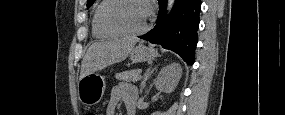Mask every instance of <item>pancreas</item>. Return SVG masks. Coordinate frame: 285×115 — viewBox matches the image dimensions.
Returning <instances> with one entry per match:
<instances>
[{
  "mask_svg": "<svg viewBox=\"0 0 285 115\" xmlns=\"http://www.w3.org/2000/svg\"><path fill=\"white\" fill-rule=\"evenodd\" d=\"M141 71L134 69L129 71H124L115 75V78L118 80L126 81V82H135L138 80Z\"/></svg>",
  "mask_w": 285,
  "mask_h": 115,
  "instance_id": "cf45deb5",
  "label": "pancreas"
}]
</instances>
